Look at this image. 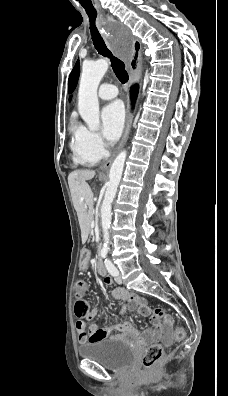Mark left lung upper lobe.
Wrapping results in <instances>:
<instances>
[{
    "instance_id": "obj_1",
    "label": "left lung upper lobe",
    "mask_w": 228,
    "mask_h": 396,
    "mask_svg": "<svg viewBox=\"0 0 228 396\" xmlns=\"http://www.w3.org/2000/svg\"><path fill=\"white\" fill-rule=\"evenodd\" d=\"M79 70H80V63L79 61L76 62L75 67L73 68L72 72L70 73L69 76V81H68V93L71 94L78 82L79 78ZM71 100V96L69 98Z\"/></svg>"
}]
</instances>
